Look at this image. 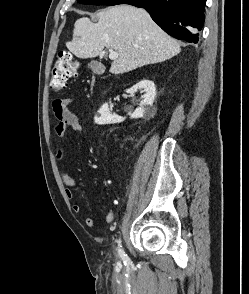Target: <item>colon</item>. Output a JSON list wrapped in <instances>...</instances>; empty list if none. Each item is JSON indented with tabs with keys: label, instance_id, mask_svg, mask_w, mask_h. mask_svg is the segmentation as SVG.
<instances>
[{
	"label": "colon",
	"instance_id": "colon-1",
	"mask_svg": "<svg viewBox=\"0 0 249 294\" xmlns=\"http://www.w3.org/2000/svg\"><path fill=\"white\" fill-rule=\"evenodd\" d=\"M78 62L69 52L58 55L50 75V88L59 92L66 87L67 81L77 76Z\"/></svg>",
	"mask_w": 249,
	"mask_h": 294
}]
</instances>
